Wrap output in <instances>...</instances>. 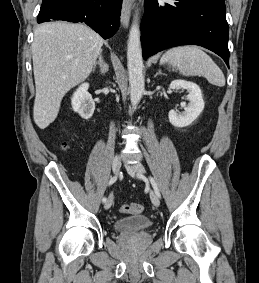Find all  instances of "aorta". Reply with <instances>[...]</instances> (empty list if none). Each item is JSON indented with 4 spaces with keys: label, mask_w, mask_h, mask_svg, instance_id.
<instances>
[{
    "label": "aorta",
    "mask_w": 259,
    "mask_h": 283,
    "mask_svg": "<svg viewBox=\"0 0 259 283\" xmlns=\"http://www.w3.org/2000/svg\"><path fill=\"white\" fill-rule=\"evenodd\" d=\"M127 67L130 85V101L133 106L137 105L144 93L143 58L140 42V29L137 17L135 18L127 43Z\"/></svg>",
    "instance_id": "obj_1"
}]
</instances>
